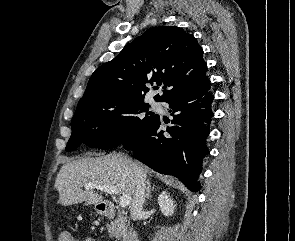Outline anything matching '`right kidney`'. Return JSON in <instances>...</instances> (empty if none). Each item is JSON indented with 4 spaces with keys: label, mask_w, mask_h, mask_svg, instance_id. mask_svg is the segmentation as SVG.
I'll use <instances>...</instances> for the list:
<instances>
[{
    "label": "right kidney",
    "mask_w": 295,
    "mask_h": 241,
    "mask_svg": "<svg viewBox=\"0 0 295 241\" xmlns=\"http://www.w3.org/2000/svg\"><path fill=\"white\" fill-rule=\"evenodd\" d=\"M158 204L160 206L161 212L165 216H172L174 214L175 206L174 201L169 197V195L163 191L158 196Z\"/></svg>",
    "instance_id": "1"
}]
</instances>
